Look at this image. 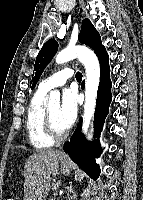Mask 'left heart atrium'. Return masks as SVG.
Here are the masks:
<instances>
[{
	"label": "left heart atrium",
	"instance_id": "left-heart-atrium-1",
	"mask_svg": "<svg viewBox=\"0 0 143 200\" xmlns=\"http://www.w3.org/2000/svg\"><path fill=\"white\" fill-rule=\"evenodd\" d=\"M78 111V101L75 91L66 89L62 94V103L59 108V119L66 129L75 121Z\"/></svg>",
	"mask_w": 143,
	"mask_h": 200
}]
</instances>
